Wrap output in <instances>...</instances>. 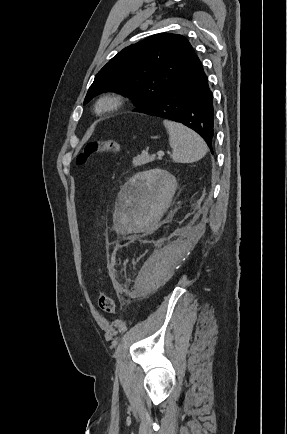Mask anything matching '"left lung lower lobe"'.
<instances>
[{"label": "left lung lower lobe", "instance_id": "0a47b994", "mask_svg": "<svg viewBox=\"0 0 287 434\" xmlns=\"http://www.w3.org/2000/svg\"><path fill=\"white\" fill-rule=\"evenodd\" d=\"M212 92L200 61L189 69L153 106L137 112L180 122L196 131L212 151L214 110Z\"/></svg>", "mask_w": 287, "mask_h": 434}]
</instances>
